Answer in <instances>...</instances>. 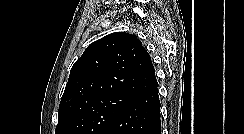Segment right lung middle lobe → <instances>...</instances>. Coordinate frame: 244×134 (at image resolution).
I'll return each instance as SVG.
<instances>
[{"label":"right lung middle lobe","instance_id":"dd1d6c3e","mask_svg":"<svg viewBox=\"0 0 244 134\" xmlns=\"http://www.w3.org/2000/svg\"><path fill=\"white\" fill-rule=\"evenodd\" d=\"M131 99L111 96L85 103L60 118L55 134H101Z\"/></svg>","mask_w":244,"mask_h":134}]
</instances>
